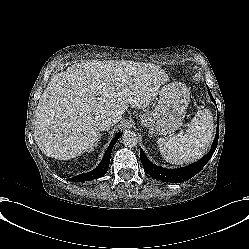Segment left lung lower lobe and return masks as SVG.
I'll list each match as a JSON object with an SVG mask.
<instances>
[{"label": "left lung lower lobe", "instance_id": "0a47b994", "mask_svg": "<svg viewBox=\"0 0 249 249\" xmlns=\"http://www.w3.org/2000/svg\"><path fill=\"white\" fill-rule=\"evenodd\" d=\"M208 93L210 95L211 100L216 104L209 90H208ZM218 136H219V126L217 125L216 136H215L212 148L210 149L209 153L204 158L199 160L198 162L187 167L172 170V169H166V168L156 166L148 160V158L146 157V155L144 154L141 148H140V159H141V162L143 164L145 171L153 178L163 180L166 182H171V183L183 182L184 180H188L194 175H196L205 166V164L210 160V158L212 157L217 147Z\"/></svg>", "mask_w": 249, "mask_h": 249}]
</instances>
